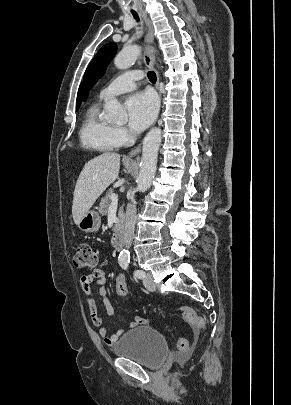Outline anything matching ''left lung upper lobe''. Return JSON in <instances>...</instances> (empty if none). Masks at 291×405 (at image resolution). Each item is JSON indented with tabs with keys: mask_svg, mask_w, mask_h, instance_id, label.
<instances>
[{
	"mask_svg": "<svg viewBox=\"0 0 291 405\" xmlns=\"http://www.w3.org/2000/svg\"><path fill=\"white\" fill-rule=\"evenodd\" d=\"M116 51L117 45L115 43H107L98 51L89 64L84 75V100L87 98L89 90L104 73L106 66L113 58Z\"/></svg>",
	"mask_w": 291,
	"mask_h": 405,
	"instance_id": "left-lung-upper-lobe-1",
	"label": "left lung upper lobe"
}]
</instances>
